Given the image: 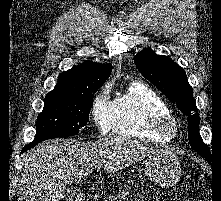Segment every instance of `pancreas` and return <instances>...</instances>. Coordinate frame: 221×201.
<instances>
[{
	"instance_id": "obj_1",
	"label": "pancreas",
	"mask_w": 221,
	"mask_h": 201,
	"mask_svg": "<svg viewBox=\"0 0 221 201\" xmlns=\"http://www.w3.org/2000/svg\"><path fill=\"white\" fill-rule=\"evenodd\" d=\"M103 201H116V198L112 195H108Z\"/></svg>"
}]
</instances>
